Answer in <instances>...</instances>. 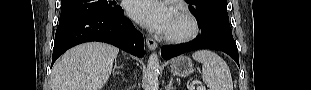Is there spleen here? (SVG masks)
I'll return each mask as SVG.
<instances>
[{"instance_id": "spleen-1", "label": "spleen", "mask_w": 311, "mask_h": 90, "mask_svg": "<svg viewBox=\"0 0 311 90\" xmlns=\"http://www.w3.org/2000/svg\"><path fill=\"white\" fill-rule=\"evenodd\" d=\"M192 58L203 65L202 79L210 90H233L229 67L219 55L209 50H199Z\"/></svg>"}]
</instances>
